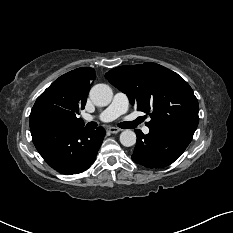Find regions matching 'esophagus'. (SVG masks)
<instances>
[{"label": "esophagus", "instance_id": "esophagus-1", "mask_svg": "<svg viewBox=\"0 0 233 233\" xmlns=\"http://www.w3.org/2000/svg\"><path fill=\"white\" fill-rule=\"evenodd\" d=\"M107 132L108 133H111V134H117L118 132H120V129L116 128V127H109L107 129Z\"/></svg>", "mask_w": 233, "mask_h": 233}]
</instances>
